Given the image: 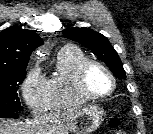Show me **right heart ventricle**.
Instances as JSON below:
<instances>
[{"label":"right heart ventricle","instance_id":"obj_1","mask_svg":"<svg viewBox=\"0 0 153 134\" xmlns=\"http://www.w3.org/2000/svg\"><path fill=\"white\" fill-rule=\"evenodd\" d=\"M88 60L77 47H63L56 57V73L46 80L48 109L78 106L88 101L77 88L76 74Z\"/></svg>","mask_w":153,"mask_h":134}]
</instances>
